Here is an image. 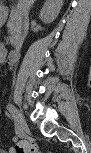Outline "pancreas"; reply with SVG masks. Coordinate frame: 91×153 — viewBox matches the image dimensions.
<instances>
[{"label": "pancreas", "instance_id": "pancreas-1", "mask_svg": "<svg viewBox=\"0 0 91 153\" xmlns=\"http://www.w3.org/2000/svg\"><path fill=\"white\" fill-rule=\"evenodd\" d=\"M7 27L10 32V43L16 45L24 33V23L21 17L15 13H12L7 23Z\"/></svg>", "mask_w": 91, "mask_h": 153}]
</instances>
